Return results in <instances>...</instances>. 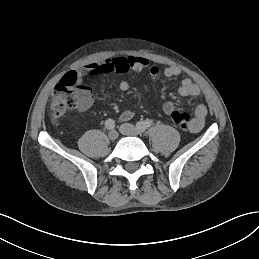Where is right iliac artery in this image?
Here are the masks:
<instances>
[{
	"label": "right iliac artery",
	"mask_w": 259,
	"mask_h": 259,
	"mask_svg": "<svg viewBox=\"0 0 259 259\" xmlns=\"http://www.w3.org/2000/svg\"><path fill=\"white\" fill-rule=\"evenodd\" d=\"M105 126L107 129H114L115 128V122L113 119H107L105 122Z\"/></svg>",
	"instance_id": "82829eb1"
}]
</instances>
